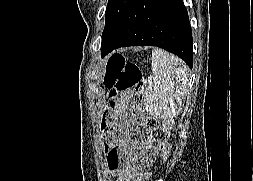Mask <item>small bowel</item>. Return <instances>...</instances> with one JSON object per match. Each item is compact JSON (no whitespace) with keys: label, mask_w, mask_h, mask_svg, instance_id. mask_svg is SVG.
<instances>
[{"label":"small bowel","mask_w":253,"mask_h":181,"mask_svg":"<svg viewBox=\"0 0 253 181\" xmlns=\"http://www.w3.org/2000/svg\"><path fill=\"white\" fill-rule=\"evenodd\" d=\"M132 102L131 93H122L109 115V132L104 143L105 161L117 181H145L158 155L157 148L149 136L135 129V139L127 137L121 128V117Z\"/></svg>","instance_id":"c3829d8e"}]
</instances>
